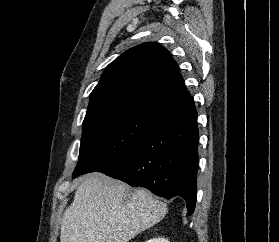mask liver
I'll return each instance as SVG.
<instances>
[{
    "label": "liver",
    "instance_id": "liver-1",
    "mask_svg": "<svg viewBox=\"0 0 279 242\" xmlns=\"http://www.w3.org/2000/svg\"><path fill=\"white\" fill-rule=\"evenodd\" d=\"M167 205L145 189L102 174L85 177L63 214L60 242H128L164 218Z\"/></svg>",
    "mask_w": 279,
    "mask_h": 242
}]
</instances>
